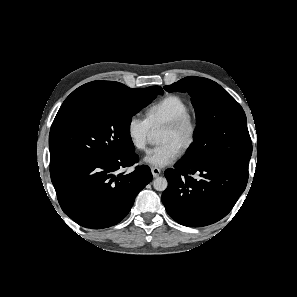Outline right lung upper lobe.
I'll return each instance as SVG.
<instances>
[{
    "label": "right lung upper lobe",
    "instance_id": "right-lung-upper-lobe-1",
    "mask_svg": "<svg viewBox=\"0 0 297 297\" xmlns=\"http://www.w3.org/2000/svg\"><path fill=\"white\" fill-rule=\"evenodd\" d=\"M113 83L119 82L93 81L80 86L66 98L60 110L84 101L101 99L110 95L111 91L114 89Z\"/></svg>",
    "mask_w": 297,
    "mask_h": 297
}]
</instances>
